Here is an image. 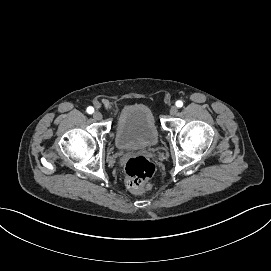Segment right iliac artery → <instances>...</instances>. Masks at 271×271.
Instances as JSON below:
<instances>
[{
    "label": "right iliac artery",
    "instance_id": "82829eb1",
    "mask_svg": "<svg viewBox=\"0 0 271 271\" xmlns=\"http://www.w3.org/2000/svg\"><path fill=\"white\" fill-rule=\"evenodd\" d=\"M87 112H88L89 114H92V113L94 112V108L91 107V106H89V107L87 108Z\"/></svg>",
    "mask_w": 271,
    "mask_h": 271
}]
</instances>
